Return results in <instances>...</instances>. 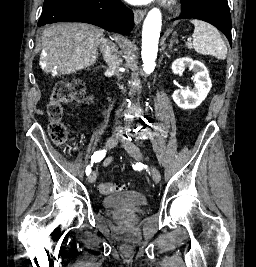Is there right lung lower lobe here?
Listing matches in <instances>:
<instances>
[{"label":"right lung lower lobe","mask_w":256,"mask_h":267,"mask_svg":"<svg viewBox=\"0 0 256 267\" xmlns=\"http://www.w3.org/2000/svg\"><path fill=\"white\" fill-rule=\"evenodd\" d=\"M134 15L120 0L60 1L43 7L38 26L56 22H84L122 35L130 33Z\"/></svg>","instance_id":"1"}]
</instances>
